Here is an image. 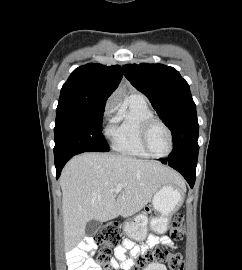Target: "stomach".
Masks as SVG:
<instances>
[{"label":"stomach","mask_w":242,"mask_h":270,"mask_svg":"<svg viewBox=\"0 0 242 270\" xmlns=\"http://www.w3.org/2000/svg\"><path fill=\"white\" fill-rule=\"evenodd\" d=\"M184 201V187L176 184H165L161 186L153 196L152 204L157 217L150 220V227L157 234H164L168 228L173 214L178 211ZM148 218L139 214L124 223L125 234L136 241H143L148 232Z\"/></svg>","instance_id":"0dacf381"}]
</instances>
